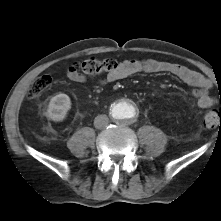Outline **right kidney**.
Instances as JSON below:
<instances>
[{
  "mask_svg": "<svg viewBox=\"0 0 221 221\" xmlns=\"http://www.w3.org/2000/svg\"><path fill=\"white\" fill-rule=\"evenodd\" d=\"M70 109L71 100L69 96L60 93L51 98L46 112L47 117L56 122L63 121Z\"/></svg>",
  "mask_w": 221,
  "mask_h": 221,
  "instance_id": "ca27d5eb",
  "label": "right kidney"
}]
</instances>
